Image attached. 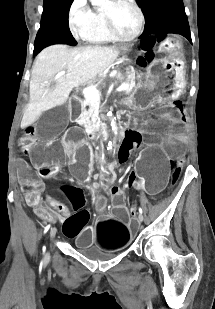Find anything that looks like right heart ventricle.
I'll return each mask as SVG.
<instances>
[{
	"label": "right heart ventricle",
	"mask_w": 215,
	"mask_h": 309,
	"mask_svg": "<svg viewBox=\"0 0 215 309\" xmlns=\"http://www.w3.org/2000/svg\"><path fill=\"white\" fill-rule=\"evenodd\" d=\"M90 25L92 27H84V34H89L91 42H108V31L102 23H98L96 19H91Z\"/></svg>",
	"instance_id": "obj_1"
}]
</instances>
